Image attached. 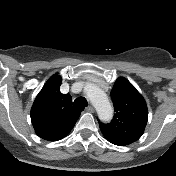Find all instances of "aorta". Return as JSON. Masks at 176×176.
Masks as SVG:
<instances>
[{"instance_id":"762f6f07","label":"aorta","mask_w":176,"mask_h":176,"mask_svg":"<svg viewBox=\"0 0 176 176\" xmlns=\"http://www.w3.org/2000/svg\"><path fill=\"white\" fill-rule=\"evenodd\" d=\"M87 97L95 107L98 117L102 121H110L113 117V107L106 93L94 84L87 85Z\"/></svg>"}]
</instances>
